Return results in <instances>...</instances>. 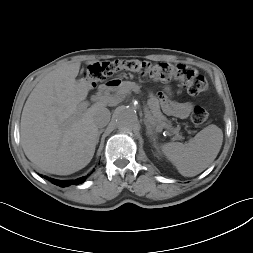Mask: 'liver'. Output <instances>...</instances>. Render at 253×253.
I'll list each match as a JSON object with an SVG mask.
<instances>
[{"label": "liver", "mask_w": 253, "mask_h": 253, "mask_svg": "<svg viewBox=\"0 0 253 253\" xmlns=\"http://www.w3.org/2000/svg\"><path fill=\"white\" fill-rule=\"evenodd\" d=\"M79 69L80 62H67L46 74L22 111L20 136L24 153L48 173L69 175L88 165L98 143L94 117L110 103L101 99L86 111H79V104L91 89L85 78L76 80Z\"/></svg>", "instance_id": "1"}]
</instances>
